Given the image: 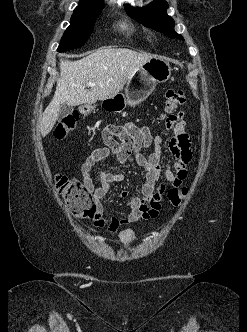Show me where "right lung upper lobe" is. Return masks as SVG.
<instances>
[{
	"mask_svg": "<svg viewBox=\"0 0 247 332\" xmlns=\"http://www.w3.org/2000/svg\"><path fill=\"white\" fill-rule=\"evenodd\" d=\"M103 4H104L103 0H80L77 8L88 9V8L103 6Z\"/></svg>",
	"mask_w": 247,
	"mask_h": 332,
	"instance_id": "right-lung-upper-lobe-1",
	"label": "right lung upper lobe"
}]
</instances>
